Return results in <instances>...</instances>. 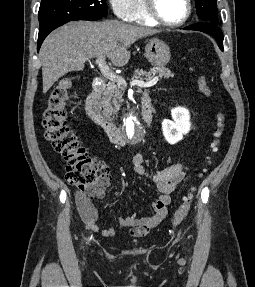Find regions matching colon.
I'll return each instance as SVG.
<instances>
[{"label":"colon","instance_id":"colon-1","mask_svg":"<svg viewBox=\"0 0 255 287\" xmlns=\"http://www.w3.org/2000/svg\"><path fill=\"white\" fill-rule=\"evenodd\" d=\"M200 91L206 96H211L206 86L204 76L198 80ZM72 81L68 77L61 78L52 88L43 112L42 125L45 138L51 142L54 150L62 155L66 161V180L69 184L84 192L98 180V166L84 147L79 143L75 134L66 123V106ZM225 126V115L219 110L216 116L214 138L211 144V153L207 164H210L218 153ZM204 169L199 173L203 177ZM194 197V189L183 199L179 208L172 215V223L179 224L187 216Z\"/></svg>","mask_w":255,"mask_h":287}]
</instances>
